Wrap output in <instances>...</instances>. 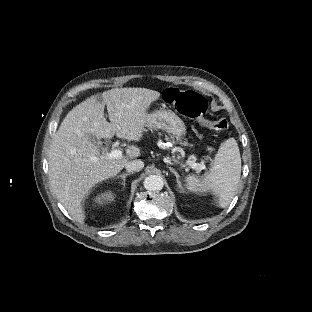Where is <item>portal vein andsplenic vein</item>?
Listing matches in <instances>:
<instances>
[{
    "mask_svg": "<svg viewBox=\"0 0 312 312\" xmlns=\"http://www.w3.org/2000/svg\"><path fill=\"white\" fill-rule=\"evenodd\" d=\"M100 158L119 159V158H122V151H120L118 149H113L110 153L106 154L105 156L104 155L100 156ZM91 161L97 162V161H99V157L92 156ZM191 166L193 169H197L199 171L206 168L204 163H195L193 161H191Z\"/></svg>",
    "mask_w": 312,
    "mask_h": 312,
    "instance_id": "portal-vein-and-splenic-vein-1",
    "label": "portal vein and splenic vein"
}]
</instances>
